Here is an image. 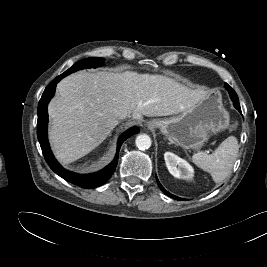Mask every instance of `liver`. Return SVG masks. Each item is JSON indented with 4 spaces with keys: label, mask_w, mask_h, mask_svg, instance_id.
<instances>
[{
    "label": "liver",
    "mask_w": 267,
    "mask_h": 267,
    "mask_svg": "<svg viewBox=\"0 0 267 267\" xmlns=\"http://www.w3.org/2000/svg\"><path fill=\"white\" fill-rule=\"evenodd\" d=\"M163 75L77 72L57 85L48 105L49 139L56 158L68 164L99 146L120 115L138 121L192 109L206 96Z\"/></svg>",
    "instance_id": "obj_1"
}]
</instances>
